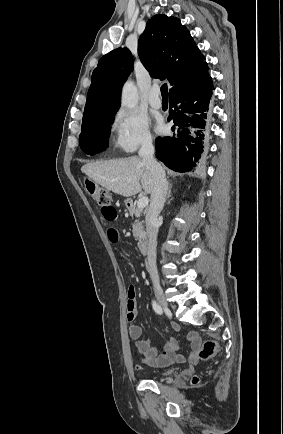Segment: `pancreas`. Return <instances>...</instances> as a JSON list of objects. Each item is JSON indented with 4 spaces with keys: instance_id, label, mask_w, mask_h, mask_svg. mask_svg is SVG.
<instances>
[{
    "instance_id": "1",
    "label": "pancreas",
    "mask_w": 283,
    "mask_h": 434,
    "mask_svg": "<svg viewBox=\"0 0 283 434\" xmlns=\"http://www.w3.org/2000/svg\"><path fill=\"white\" fill-rule=\"evenodd\" d=\"M129 212L130 215H134L137 218L132 226L133 236L135 237L136 240H141L145 235V231L143 229V222L139 220L142 211L139 208L131 207L129 209Z\"/></svg>"
}]
</instances>
